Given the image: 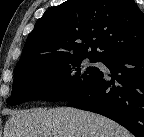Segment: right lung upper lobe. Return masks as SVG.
<instances>
[{
    "label": "right lung upper lobe",
    "mask_w": 144,
    "mask_h": 137,
    "mask_svg": "<svg viewBox=\"0 0 144 137\" xmlns=\"http://www.w3.org/2000/svg\"><path fill=\"white\" fill-rule=\"evenodd\" d=\"M142 45L144 13L134 0H68L36 22L16 66L68 57L104 62Z\"/></svg>",
    "instance_id": "right-lung-upper-lobe-1"
}]
</instances>
